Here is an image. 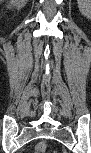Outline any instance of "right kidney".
<instances>
[{"label":"right kidney","mask_w":91,"mask_h":153,"mask_svg":"<svg viewBox=\"0 0 91 153\" xmlns=\"http://www.w3.org/2000/svg\"><path fill=\"white\" fill-rule=\"evenodd\" d=\"M12 6H15V7H17L18 9L22 7V5L19 3L18 0H12V1L10 2V5L8 6V8H11Z\"/></svg>","instance_id":"obj_1"}]
</instances>
